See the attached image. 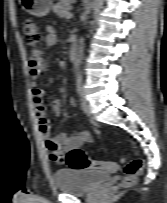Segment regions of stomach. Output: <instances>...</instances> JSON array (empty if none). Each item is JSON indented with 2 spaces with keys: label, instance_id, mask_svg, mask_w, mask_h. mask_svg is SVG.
Returning <instances> with one entry per match:
<instances>
[{
  "label": "stomach",
  "instance_id": "obj_1",
  "mask_svg": "<svg viewBox=\"0 0 167 203\" xmlns=\"http://www.w3.org/2000/svg\"><path fill=\"white\" fill-rule=\"evenodd\" d=\"M22 8L35 16L47 15L52 7V0H20Z\"/></svg>",
  "mask_w": 167,
  "mask_h": 203
}]
</instances>
